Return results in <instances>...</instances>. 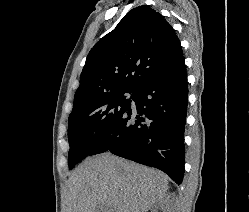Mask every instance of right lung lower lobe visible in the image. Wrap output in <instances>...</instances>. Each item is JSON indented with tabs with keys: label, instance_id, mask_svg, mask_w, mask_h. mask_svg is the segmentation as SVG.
<instances>
[{
	"label": "right lung lower lobe",
	"instance_id": "obj_1",
	"mask_svg": "<svg viewBox=\"0 0 249 212\" xmlns=\"http://www.w3.org/2000/svg\"><path fill=\"white\" fill-rule=\"evenodd\" d=\"M132 99L135 105L113 125L95 154L110 151L158 168L180 184L188 100L184 57L136 89Z\"/></svg>",
	"mask_w": 249,
	"mask_h": 212
}]
</instances>
